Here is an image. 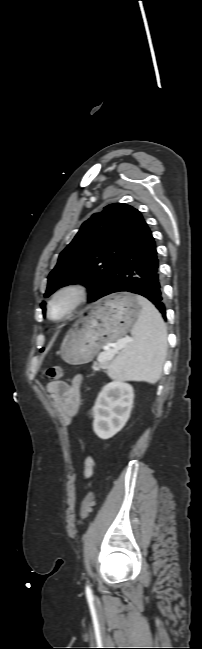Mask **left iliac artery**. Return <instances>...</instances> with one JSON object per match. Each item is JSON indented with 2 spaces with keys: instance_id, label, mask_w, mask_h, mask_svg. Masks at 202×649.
I'll use <instances>...</instances> for the list:
<instances>
[{
  "instance_id": "left-iliac-artery-1",
  "label": "left iliac artery",
  "mask_w": 202,
  "mask_h": 649,
  "mask_svg": "<svg viewBox=\"0 0 202 649\" xmlns=\"http://www.w3.org/2000/svg\"><path fill=\"white\" fill-rule=\"evenodd\" d=\"M86 590H87V591H90V588L87 586V587H86Z\"/></svg>"
}]
</instances>
